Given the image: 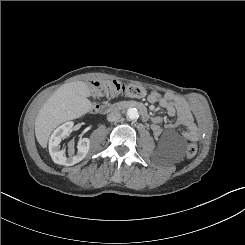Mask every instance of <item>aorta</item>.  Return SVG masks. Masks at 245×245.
Segmentation results:
<instances>
[{
	"mask_svg": "<svg viewBox=\"0 0 245 245\" xmlns=\"http://www.w3.org/2000/svg\"><path fill=\"white\" fill-rule=\"evenodd\" d=\"M126 117L129 120H136L139 117V113H138L137 109H135V108H129L126 111Z\"/></svg>",
	"mask_w": 245,
	"mask_h": 245,
	"instance_id": "obj_1",
	"label": "aorta"
}]
</instances>
